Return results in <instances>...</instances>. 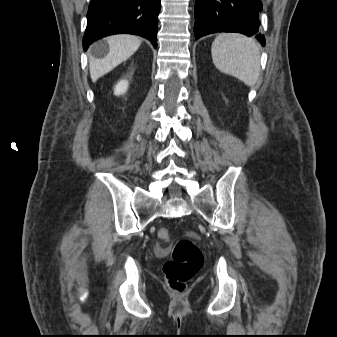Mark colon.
<instances>
[{"label": "colon", "instance_id": "5ec220e1", "mask_svg": "<svg viewBox=\"0 0 337 337\" xmlns=\"http://www.w3.org/2000/svg\"><path fill=\"white\" fill-rule=\"evenodd\" d=\"M157 238L156 251L158 253L166 252L171 239L169 230L159 229ZM203 262V254L192 239L179 240L172 248L171 258L163 267L169 287L174 291H183L186 284L200 270Z\"/></svg>", "mask_w": 337, "mask_h": 337}]
</instances>
